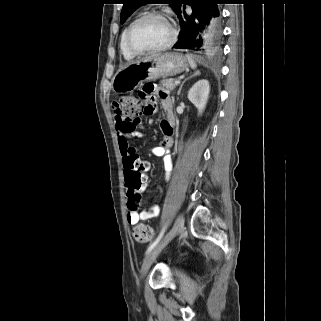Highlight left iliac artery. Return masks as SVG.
Listing matches in <instances>:
<instances>
[{"mask_svg": "<svg viewBox=\"0 0 321 321\" xmlns=\"http://www.w3.org/2000/svg\"><path fill=\"white\" fill-rule=\"evenodd\" d=\"M166 230V226L163 227V229L161 230V232L159 233L158 237L154 240V242L148 247L146 254H148L162 239L164 233Z\"/></svg>", "mask_w": 321, "mask_h": 321, "instance_id": "left-iliac-artery-1", "label": "left iliac artery"}]
</instances>
